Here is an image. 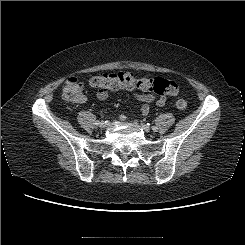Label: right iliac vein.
Instances as JSON below:
<instances>
[{"instance_id":"1","label":"right iliac vein","mask_w":245,"mask_h":245,"mask_svg":"<svg viewBox=\"0 0 245 245\" xmlns=\"http://www.w3.org/2000/svg\"><path fill=\"white\" fill-rule=\"evenodd\" d=\"M107 126H108V123H107V122H105V121L99 122V127H100V128H105V127H107Z\"/></svg>"}]
</instances>
